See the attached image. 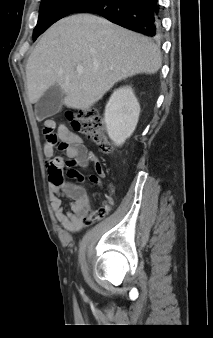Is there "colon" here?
<instances>
[{"label": "colon", "mask_w": 213, "mask_h": 338, "mask_svg": "<svg viewBox=\"0 0 213 338\" xmlns=\"http://www.w3.org/2000/svg\"><path fill=\"white\" fill-rule=\"evenodd\" d=\"M69 120L73 124L74 128L84 135L90 142L96 144L102 151L110 152L112 145L106 135L105 125L103 119L99 117L94 109H89L79 113H69ZM66 147V144L63 145ZM75 164V161H70L68 166ZM70 178H81L79 173L69 167L66 174ZM47 176L52 184H57L61 178L64 177L61 166L57 164L55 160H52L47 166ZM102 170L99 165L95 166V173L89 176V180L94 185L101 183ZM111 209V203L109 201H103L99 207L93 212L92 221H98L108 215Z\"/></svg>", "instance_id": "colon-1"}]
</instances>
